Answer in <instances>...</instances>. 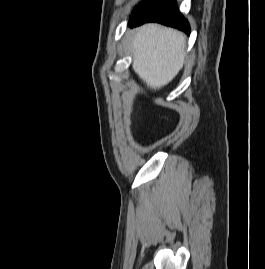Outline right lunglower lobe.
Masks as SVG:
<instances>
[{"label": "right lung lower lobe", "instance_id": "1", "mask_svg": "<svg viewBox=\"0 0 265 269\" xmlns=\"http://www.w3.org/2000/svg\"><path fill=\"white\" fill-rule=\"evenodd\" d=\"M145 22H158L190 33L188 21L181 15L175 5V0L151 1L140 5L129 21L131 27Z\"/></svg>", "mask_w": 265, "mask_h": 269}]
</instances>
